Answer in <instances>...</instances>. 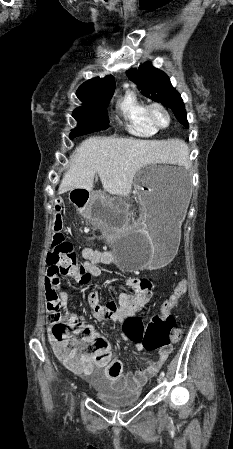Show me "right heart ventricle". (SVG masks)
<instances>
[{"mask_svg":"<svg viewBox=\"0 0 233 449\" xmlns=\"http://www.w3.org/2000/svg\"><path fill=\"white\" fill-rule=\"evenodd\" d=\"M146 105V102L131 89H126L116 104L117 111L125 121L127 131L140 138L151 137L157 132L145 116Z\"/></svg>","mask_w":233,"mask_h":449,"instance_id":"right-heart-ventricle-1","label":"right heart ventricle"}]
</instances>
